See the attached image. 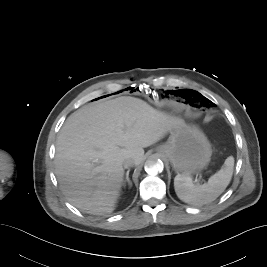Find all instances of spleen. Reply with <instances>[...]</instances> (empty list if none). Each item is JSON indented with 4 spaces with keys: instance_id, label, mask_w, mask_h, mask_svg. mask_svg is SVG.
<instances>
[{
    "instance_id": "3e777b00",
    "label": "spleen",
    "mask_w": 267,
    "mask_h": 267,
    "mask_svg": "<svg viewBox=\"0 0 267 267\" xmlns=\"http://www.w3.org/2000/svg\"><path fill=\"white\" fill-rule=\"evenodd\" d=\"M234 167V158L229 156L221 169L212 175L207 183L193 184L188 176L177 175L174 189L180 200L193 206H202L214 201L229 185Z\"/></svg>"
}]
</instances>
